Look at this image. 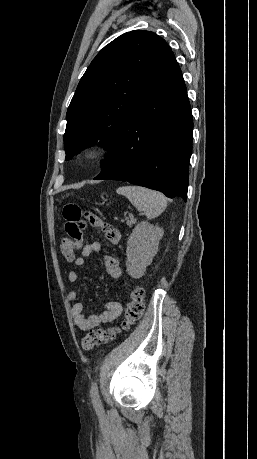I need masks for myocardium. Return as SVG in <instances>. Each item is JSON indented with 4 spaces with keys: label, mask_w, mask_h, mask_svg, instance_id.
<instances>
[{
    "label": "myocardium",
    "mask_w": 257,
    "mask_h": 459,
    "mask_svg": "<svg viewBox=\"0 0 257 459\" xmlns=\"http://www.w3.org/2000/svg\"><path fill=\"white\" fill-rule=\"evenodd\" d=\"M107 148L103 145H89L82 149L79 157L85 163H93L105 157Z\"/></svg>",
    "instance_id": "1"
}]
</instances>
